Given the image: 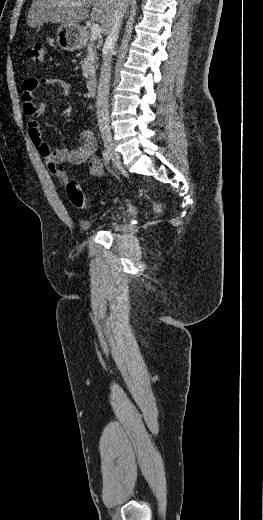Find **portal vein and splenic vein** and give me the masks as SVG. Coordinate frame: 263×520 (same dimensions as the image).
Returning <instances> with one entry per match:
<instances>
[{
    "mask_svg": "<svg viewBox=\"0 0 263 520\" xmlns=\"http://www.w3.org/2000/svg\"><path fill=\"white\" fill-rule=\"evenodd\" d=\"M72 5H78L81 6L82 3H73ZM101 36V28L98 24H93L91 27V40H96L98 37Z\"/></svg>",
    "mask_w": 263,
    "mask_h": 520,
    "instance_id": "portal-vein-and-splenic-vein-1",
    "label": "portal vein and splenic vein"
}]
</instances>
